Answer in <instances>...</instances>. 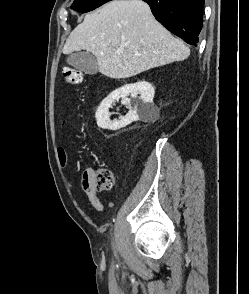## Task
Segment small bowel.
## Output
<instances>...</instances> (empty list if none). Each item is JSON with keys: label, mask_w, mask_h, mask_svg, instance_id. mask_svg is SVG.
Masks as SVG:
<instances>
[{"label": "small bowel", "mask_w": 249, "mask_h": 294, "mask_svg": "<svg viewBox=\"0 0 249 294\" xmlns=\"http://www.w3.org/2000/svg\"><path fill=\"white\" fill-rule=\"evenodd\" d=\"M72 134H67L65 136V143H68L72 139ZM58 161L61 167H65L68 161V154L64 146H60L57 149ZM90 171V170H87ZM81 187L85 193L91 206L98 212H103L106 209V205L98 198L97 189L91 183L90 178L87 175H83Z\"/></svg>", "instance_id": "small-bowel-1"}]
</instances>
